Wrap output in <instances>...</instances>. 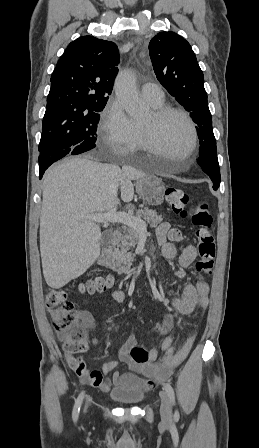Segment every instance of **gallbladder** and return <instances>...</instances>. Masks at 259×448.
Segmentation results:
<instances>
[{"label":"gallbladder","instance_id":"bac80fb5","mask_svg":"<svg viewBox=\"0 0 259 448\" xmlns=\"http://www.w3.org/2000/svg\"><path fill=\"white\" fill-rule=\"evenodd\" d=\"M141 170H146V164H140ZM112 244V230H105L101 234V246H110Z\"/></svg>","mask_w":259,"mask_h":448}]
</instances>
